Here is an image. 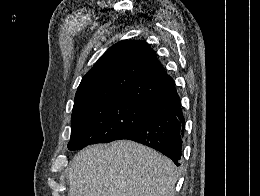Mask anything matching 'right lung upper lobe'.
Returning <instances> with one entry per match:
<instances>
[{"label": "right lung upper lobe", "instance_id": "obj_1", "mask_svg": "<svg viewBox=\"0 0 260 196\" xmlns=\"http://www.w3.org/2000/svg\"><path fill=\"white\" fill-rule=\"evenodd\" d=\"M174 85L146 42L124 40L109 48L82 78L74 106L115 99L142 104Z\"/></svg>", "mask_w": 260, "mask_h": 196}]
</instances>
